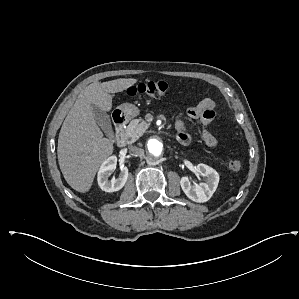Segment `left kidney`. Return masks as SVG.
<instances>
[{
    "label": "left kidney",
    "mask_w": 299,
    "mask_h": 299,
    "mask_svg": "<svg viewBox=\"0 0 299 299\" xmlns=\"http://www.w3.org/2000/svg\"><path fill=\"white\" fill-rule=\"evenodd\" d=\"M197 172L206 177V182L191 185L188 177H182L180 185L186 196L194 202L203 203L208 201L216 191L219 183V174L216 170L205 164H198Z\"/></svg>",
    "instance_id": "obj_1"
}]
</instances>
